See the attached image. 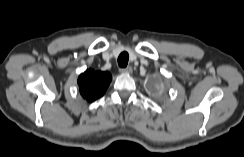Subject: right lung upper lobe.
Segmentation results:
<instances>
[{
    "label": "right lung upper lobe",
    "instance_id": "cb5924a9",
    "mask_svg": "<svg viewBox=\"0 0 244 157\" xmlns=\"http://www.w3.org/2000/svg\"><path fill=\"white\" fill-rule=\"evenodd\" d=\"M111 79V74L108 72L86 70L78 78L80 93L88 102H92L105 93Z\"/></svg>",
    "mask_w": 244,
    "mask_h": 157
}]
</instances>
